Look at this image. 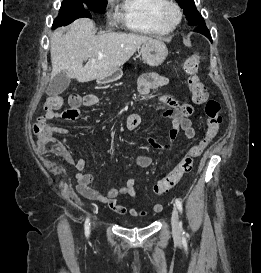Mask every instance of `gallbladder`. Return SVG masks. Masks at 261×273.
Here are the masks:
<instances>
[{
    "instance_id": "gallbladder-1",
    "label": "gallbladder",
    "mask_w": 261,
    "mask_h": 273,
    "mask_svg": "<svg viewBox=\"0 0 261 273\" xmlns=\"http://www.w3.org/2000/svg\"><path fill=\"white\" fill-rule=\"evenodd\" d=\"M71 79L67 76L65 71H62L55 75L47 88V95L57 96L63 93L70 84Z\"/></svg>"
}]
</instances>
